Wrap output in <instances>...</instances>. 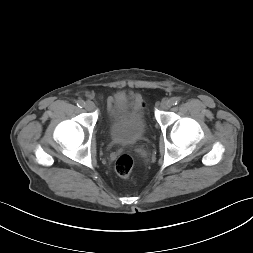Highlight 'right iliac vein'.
Segmentation results:
<instances>
[{"instance_id":"obj_1","label":"right iliac vein","mask_w":253,"mask_h":253,"mask_svg":"<svg viewBox=\"0 0 253 253\" xmlns=\"http://www.w3.org/2000/svg\"><path fill=\"white\" fill-rule=\"evenodd\" d=\"M94 108H95V104L92 101H90V100L86 101V103H85L86 110L92 111V110H94Z\"/></svg>"}]
</instances>
